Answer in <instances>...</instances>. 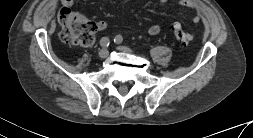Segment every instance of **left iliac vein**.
<instances>
[{
    "label": "left iliac vein",
    "mask_w": 253,
    "mask_h": 138,
    "mask_svg": "<svg viewBox=\"0 0 253 138\" xmlns=\"http://www.w3.org/2000/svg\"><path fill=\"white\" fill-rule=\"evenodd\" d=\"M117 49L122 52H131L132 50L126 46H118Z\"/></svg>",
    "instance_id": "obj_1"
}]
</instances>
